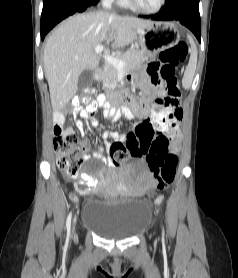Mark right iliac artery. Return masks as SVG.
I'll return each mask as SVG.
<instances>
[{"mask_svg":"<svg viewBox=\"0 0 238 278\" xmlns=\"http://www.w3.org/2000/svg\"><path fill=\"white\" fill-rule=\"evenodd\" d=\"M71 218H72V213L70 212L68 217H67V221H66V229H67L68 236H69V233H70Z\"/></svg>","mask_w":238,"mask_h":278,"instance_id":"obj_1","label":"right iliac artery"}]
</instances>
